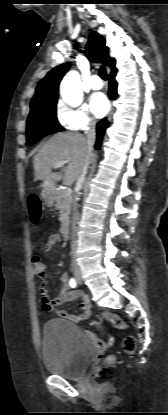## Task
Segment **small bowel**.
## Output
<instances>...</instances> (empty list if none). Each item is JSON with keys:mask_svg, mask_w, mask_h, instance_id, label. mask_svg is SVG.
I'll use <instances>...</instances> for the list:
<instances>
[{"mask_svg": "<svg viewBox=\"0 0 168 415\" xmlns=\"http://www.w3.org/2000/svg\"><path fill=\"white\" fill-rule=\"evenodd\" d=\"M59 241L60 237L57 234H51L44 245V250L49 252ZM60 279L62 285L60 292L56 298H49L45 288L40 287L43 310L47 312H54L58 317L67 319L73 323H79L88 319L90 315V306L87 296L84 295L80 290L72 289L69 284L70 280L67 273H62ZM73 300H79L80 314L78 315L70 314L66 310L59 307L62 304Z\"/></svg>", "mask_w": 168, "mask_h": 415, "instance_id": "c3829d8e", "label": "small bowel"}]
</instances>
